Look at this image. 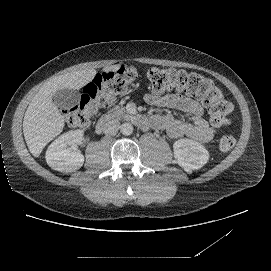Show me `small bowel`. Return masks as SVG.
I'll list each match as a JSON object with an SVG mask.
<instances>
[{
  "instance_id": "small-bowel-1",
  "label": "small bowel",
  "mask_w": 271,
  "mask_h": 271,
  "mask_svg": "<svg viewBox=\"0 0 271 271\" xmlns=\"http://www.w3.org/2000/svg\"><path fill=\"white\" fill-rule=\"evenodd\" d=\"M145 101L152 106L176 109L189 116L188 119H180L166 114L152 119L153 125L164 129L170 138L188 137L201 142L213 139L215 131L204 119V106L197 100L181 94L160 96L149 93L146 94Z\"/></svg>"
}]
</instances>
